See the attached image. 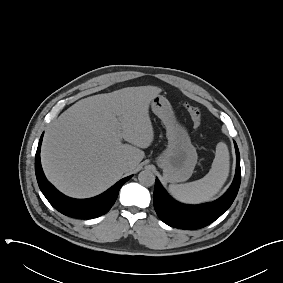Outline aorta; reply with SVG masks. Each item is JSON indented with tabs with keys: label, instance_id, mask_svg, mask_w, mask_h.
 <instances>
[{
	"label": "aorta",
	"instance_id": "aorta-1",
	"mask_svg": "<svg viewBox=\"0 0 283 283\" xmlns=\"http://www.w3.org/2000/svg\"><path fill=\"white\" fill-rule=\"evenodd\" d=\"M138 180L143 186L149 187L155 183V176L150 170H144L139 173Z\"/></svg>",
	"mask_w": 283,
	"mask_h": 283
}]
</instances>
